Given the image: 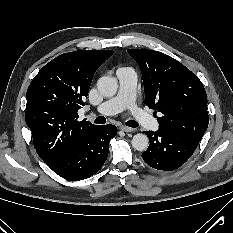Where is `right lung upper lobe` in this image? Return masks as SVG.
<instances>
[{
  "label": "right lung upper lobe",
  "instance_id": "1",
  "mask_svg": "<svg viewBox=\"0 0 233 233\" xmlns=\"http://www.w3.org/2000/svg\"><path fill=\"white\" fill-rule=\"evenodd\" d=\"M112 54V50L61 54L30 83L25 121L45 163L61 156L97 126L85 119L78 121L77 111L85 105L94 73Z\"/></svg>",
  "mask_w": 233,
  "mask_h": 233
}]
</instances>
